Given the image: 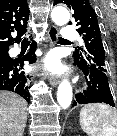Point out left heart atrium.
Here are the masks:
<instances>
[{"instance_id": "left-heart-atrium-1", "label": "left heart atrium", "mask_w": 117, "mask_h": 136, "mask_svg": "<svg viewBox=\"0 0 117 136\" xmlns=\"http://www.w3.org/2000/svg\"><path fill=\"white\" fill-rule=\"evenodd\" d=\"M46 68L51 72H57L61 69L59 60L56 56L50 55L45 61Z\"/></svg>"}]
</instances>
